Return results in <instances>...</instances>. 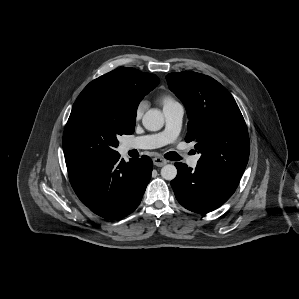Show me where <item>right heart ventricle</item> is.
<instances>
[{"label": "right heart ventricle", "instance_id": "right-heart-ventricle-1", "mask_svg": "<svg viewBox=\"0 0 299 299\" xmlns=\"http://www.w3.org/2000/svg\"><path fill=\"white\" fill-rule=\"evenodd\" d=\"M159 102L162 104L163 109L171 105L177 104L178 102L169 94H163L159 97Z\"/></svg>", "mask_w": 299, "mask_h": 299}]
</instances>
